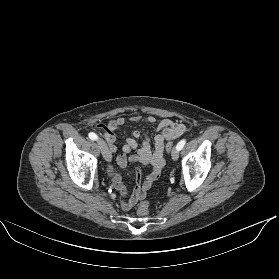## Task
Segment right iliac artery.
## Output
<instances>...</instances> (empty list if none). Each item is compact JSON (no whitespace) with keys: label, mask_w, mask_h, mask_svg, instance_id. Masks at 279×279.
<instances>
[{"label":"right iliac artery","mask_w":279,"mask_h":279,"mask_svg":"<svg viewBox=\"0 0 279 279\" xmlns=\"http://www.w3.org/2000/svg\"><path fill=\"white\" fill-rule=\"evenodd\" d=\"M88 136L91 140H97L98 139V136L93 132H90Z\"/></svg>","instance_id":"1"}]
</instances>
